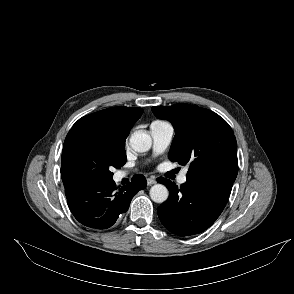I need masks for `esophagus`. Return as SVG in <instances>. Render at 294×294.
<instances>
[{
    "mask_svg": "<svg viewBox=\"0 0 294 294\" xmlns=\"http://www.w3.org/2000/svg\"><path fill=\"white\" fill-rule=\"evenodd\" d=\"M156 183V180L152 177L147 178V186H151Z\"/></svg>",
    "mask_w": 294,
    "mask_h": 294,
    "instance_id": "esophagus-1",
    "label": "esophagus"
}]
</instances>
